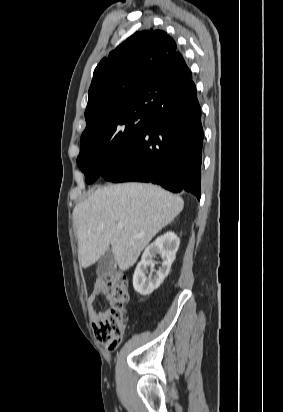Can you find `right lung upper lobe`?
Listing matches in <instances>:
<instances>
[{"label": "right lung upper lobe", "instance_id": "right-lung-upper-lobe-1", "mask_svg": "<svg viewBox=\"0 0 283 412\" xmlns=\"http://www.w3.org/2000/svg\"><path fill=\"white\" fill-rule=\"evenodd\" d=\"M190 78L191 71L169 35L152 29L135 33L94 70L82 136L136 104L163 103Z\"/></svg>", "mask_w": 283, "mask_h": 412}]
</instances>
